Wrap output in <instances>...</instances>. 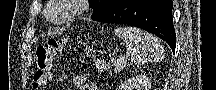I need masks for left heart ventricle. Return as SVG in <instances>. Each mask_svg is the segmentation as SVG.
Segmentation results:
<instances>
[{
	"label": "left heart ventricle",
	"mask_w": 216,
	"mask_h": 90,
	"mask_svg": "<svg viewBox=\"0 0 216 90\" xmlns=\"http://www.w3.org/2000/svg\"><path fill=\"white\" fill-rule=\"evenodd\" d=\"M62 14H63V12L59 13L58 15H59V16H62Z\"/></svg>",
	"instance_id": "b2bd125f"
}]
</instances>
